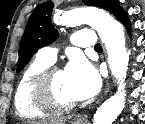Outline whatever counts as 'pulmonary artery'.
I'll list each match as a JSON object with an SVG mask.
<instances>
[{
	"mask_svg": "<svg viewBox=\"0 0 145 124\" xmlns=\"http://www.w3.org/2000/svg\"><path fill=\"white\" fill-rule=\"evenodd\" d=\"M73 45L78 47H94L96 40L92 29H82L71 37ZM57 49L54 47H43L38 51V56L53 63L56 60Z\"/></svg>",
	"mask_w": 145,
	"mask_h": 124,
	"instance_id": "pulmonary-artery-1",
	"label": "pulmonary artery"
}]
</instances>
